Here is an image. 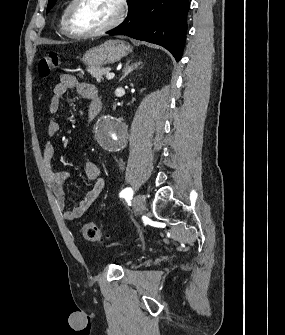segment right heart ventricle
<instances>
[{"label": "right heart ventricle", "instance_id": "right-heart-ventricle-1", "mask_svg": "<svg viewBox=\"0 0 285 335\" xmlns=\"http://www.w3.org/2000/svg\"><path fill=\"white\" fill-rule=\"evenodd\" d=\"M73 1H68L67 2V6H66V9H65V13H64V16H63V20H67L68 18V13H69V9L72 5ZM62 30L64 32L65 35L69 36V31H68V28H67V24L66 23H63V26H62ZM87 60H96L94 58H89Z\"/></svg>", "mask_w": 285, "mask_h": 335}]
</instances>
